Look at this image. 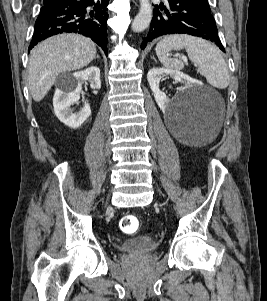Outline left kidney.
I'll return each instance as SVG.
<instances>
[{
    "instance_id": "5707ae66",
    "label": "left kidney",
    "mask_w": 267,
    "mask_h": 301,
    "mask_svg": "<svg viewBox=\"0 0 267 301\" xmlns=\"http://www.w3.org/2000/svg\"><path fill=\"white\" fill-rule=\"evenodd\" d=\"M170 76L172 77L176 82H180L184 84V87L182 90H189L196 84H198V81L195 79H192L188 75L177 71V70H171V69H165V68H153L149 70L147 74V80L150 86V89L152 90L154 94V98L159 106V108L162 111H165L170 104L172 103V99L168 98L164 92H162L159 88V82L162 77Z\"/></svg>"
}]
</instances>
